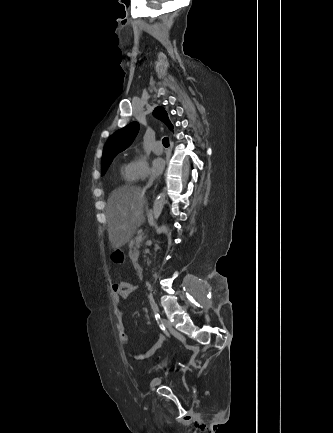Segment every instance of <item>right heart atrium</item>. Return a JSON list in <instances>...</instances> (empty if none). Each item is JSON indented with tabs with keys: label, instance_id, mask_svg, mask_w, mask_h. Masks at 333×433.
<instances>
[{
	"label": "right heart atrium",
	"instance_id": "1",
	"mask_svg": "<svg viewBox=\"0 0 333 433\" xmlns=\"http://www.w3.org/2000/svg\"><path fill=\"white\" fill-rule=\"evenodd\" d=\"M134 180H144L151 176L148 161L142 157H134L129 163Z\"/></svg>",
	"mask_w": 333,
	"mask_h": 433
}]
</instances>
